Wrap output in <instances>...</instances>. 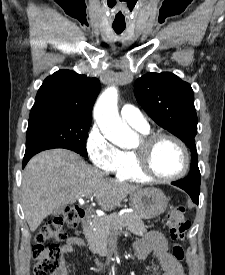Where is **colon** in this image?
Wrapping results in <instances>:
<instances>
[{
  "instance_id": "1",
  "label": "colon",
  "mask_w": 225,
  "mask_h": 275,
  "mask_svg": "<svg viewBox=\"0 0 225 275\" xmlns=\"http://www.w3.org/2000/svg\"><path fill=\"white\" fill-rule=\"evenodd\" d=\"M184 213V206L176 205L169 210L166 216L170 236L177 242L173 246L172 252L178 261H182L185 257V250L180 242L186 238L190 228V222L185 218ZM80 215L81 209L79 207L70 206L62 215L49 220L40 229L36 236V244L33 247L34 275H67L61 249L57 245L45 246L44 243L50 239L58 242L66 240L67 233L63 230V226L76 228Z\"/></svg>"
}]
</instances>
